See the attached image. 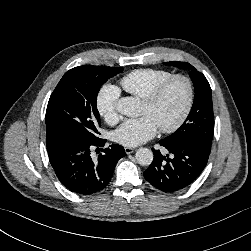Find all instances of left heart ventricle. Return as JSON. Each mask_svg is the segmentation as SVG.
Segmentation results:
<instances>
[{"label":"left heart ventricle","instance_id":"b2bd125f","mask_svg":"<svg viewBox=\"0 0 251 251\" xmlns=\"http://www.w3.org/2000/svg\"><path fill=\"white\" fill-rule=\"evenodd\" d=\"M187 91L182 81L174 82L153 106L143 103L142 115H149L157 126L174 123L180 116L186 102Z\"/></svg>","mask_w":251,"mask_h":251}]
</instances>
